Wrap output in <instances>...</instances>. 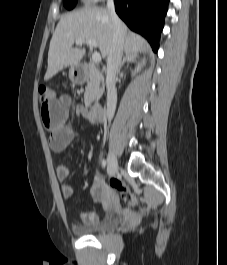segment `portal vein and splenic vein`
Segmentation results:
<instances>
[{"label": "portal vein and splenic vein", "mask_w": 227, "mask_h": 265, "mask_svg": "<svg viewBox=\"0 0 227 265\" xmlns=\"http://www.w3.org/2000/svg\"><path fill=\"white\" fill-rule=\"evenodd\" d=\"M75 43L77 45H81L83 43H87L91 48L97 47V42L95 40H92V39L83 40L81 38H78V39L75 40ZM92 61L95 62V63H99L101 61V55H100V53L94 52L92 54Z\"/></svg>", "instance_id": "obj_1"}]
</instances>
